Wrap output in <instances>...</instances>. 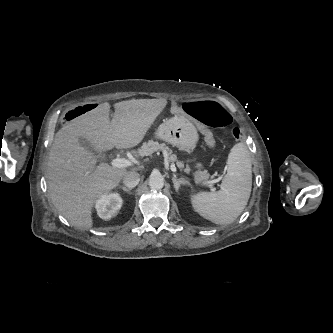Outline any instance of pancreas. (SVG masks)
I'll use <instances>...</instances> for the list:
<instances>
[{"label": "pancreas", "mask_w": 333, "mask_h": 333, "mask_svg": "<svg viewBox=\"0 0 333 333\" xmlns=\"http://www.w3.org/2000/svg\"><path fill=\"white\" fill-rule=\"evenodd\" d=\"M156 151H166L169 162L172 164L175 163L181 171L187 174L190 173V167L188 165L185 167L183 161L178 160L177 156L173 154L172 150L164 143L150 140L147 143H143L137 153L141 156H150ZM193 178L197 184L206 185L210 175L206 170H197L193 173Z\"/></svg>", "instance_id": "pancreas-1"}]
</instances>
